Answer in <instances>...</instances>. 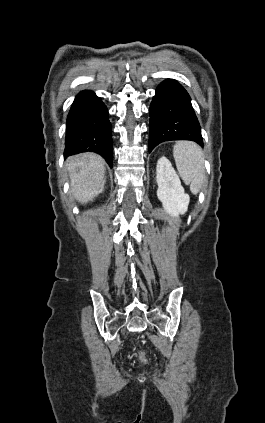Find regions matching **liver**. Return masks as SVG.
Returning <instances> with one entry per match:
<instances>
[{"instance_id": "liver-1", "label": "liver", "mask_w": 265, "mask_h": 423, "mask_svg": "<svg viewBox=\"0 0 265 423\" xmlns=\"http://www.w3.org/2000/svg\"><path fill=\"white\" fill-rule=\"evenodd\" d=\"M71 192L78 202L86 203L104 189L105 161L96 153L71 156L66 161Z\"/></svg>"}]
</instances>
